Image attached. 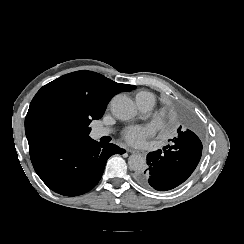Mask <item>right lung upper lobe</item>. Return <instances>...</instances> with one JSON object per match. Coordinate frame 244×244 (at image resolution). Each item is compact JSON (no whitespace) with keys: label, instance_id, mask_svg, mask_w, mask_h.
Wrapping results in <instances>:
<instances>
[{"label":"right lung upper lobe","instance_id":"obj_1","mask_svg":"<svg viewBox=\"0 0 244 244\" xmlns=\"http://www.w3.org/2000/svg\"><path fill=\"white\" fill-rule=\"evenodd\" d=\"M134 88L133 85L116 83L99 73L82 70L63 75L43 86L31 103L50 105L59 99L70 97L84 99L97 107L106 108L114 95Z\"/></svg>","mask_w":244,"mask_h":244}]
</instances>
